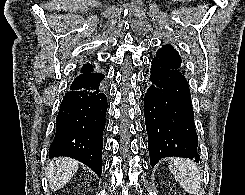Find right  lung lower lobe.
Segmentation results:
<instances>
[{
	"label": "right lung lower lobe",
	"instance_id": "right-lung-lower-lobe-1",
	"mask_svg": "<svg viewBox=\"0 0 245 195\" xmlns=\"http://www.w3.org/2000/svg\"><path fill=\"white\" fill-rule=\"evenodd\" d=\"M104 75L92 66L83 67L65 94L56 118L55 138L49 157H72L102 173V134L105 129L107 98Z\"/></svg>",
	"mask_w": 245,
	"mask_h": 195
}]
</instances>
